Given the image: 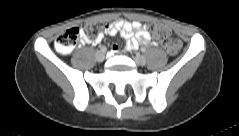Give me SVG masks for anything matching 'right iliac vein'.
<instances>
[{"mask_svg": "<svg viewBox=\"0 0 239 136\" xmlns=\"http://www.w3.org/2000/svg\"><path fill=\"white\" fill-rule=\"evenodd\" d=\"M96 59H97L98 62H103L104 59H105V52H103V51H98V52L96 53Z\"/></svg>", "mask_w": 239, "mask_h": 136, "instance_id": "63e3f726", "label": "right iliac vein"}]
</instances>
